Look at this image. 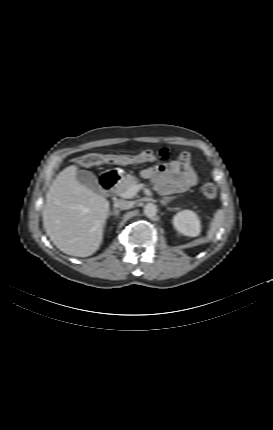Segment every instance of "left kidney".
<instances>
[{
    "mask_svg": "<svg viewBox=\"0 0 273 430\" xmlns=\"http://www.w3.org/2000/svg\"><path fill=\"white\" fill-rule=\"evenodd\" d=\"M173 225L183 235L196 237L201 232V220L192 210H182L173 218Z\"/></svg>",
    "mask_w": 273,
    "mask_h": 430,
    "instance_id": "obj_1",
    "label": "left kidney"
}]
</instances>
